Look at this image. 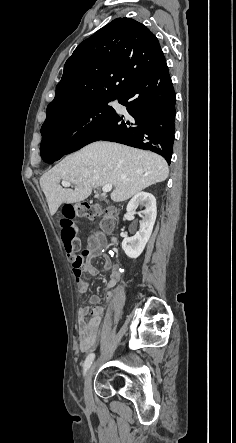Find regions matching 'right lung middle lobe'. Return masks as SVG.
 <instances>
[{
    "instance_id": "right-lung-middle-lobe-1",
    "label": "right lung middle lobe",
    "mask_w": 236,
    "mask_h": 443,
    "mask_svg": "<svg viewBox=\"0 0 236 443\" xmlns=\"http://www.w3.org/2000/svg\"><path fill=\"white\" fill-rule=\"evenodd\" d=\"M117 98L108 95L98 96L76 108L47 118L41 128L40 149L45 146L68 145L108 116L113 111L108 103Z\"/></svg>"
}]
</instances>
